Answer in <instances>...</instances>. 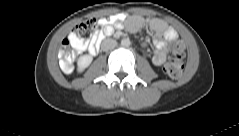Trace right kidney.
<instances>
[{
  "instance_id": "1",
  "label": "right kidney",
  "mask_w": 239,
  "mask_h": 136,
  "mask_svg": "<svg viewBox=\"0 0 239 136\" xmlns=\"http://www.w3.org/2000/svg\"><path fill=\"white\" fill-rule=\"evenodd\" d=\"M92 62V57L90 55L80 56L77 62L78 72L84 71Z\"/></svg>"
}]
</instances>
